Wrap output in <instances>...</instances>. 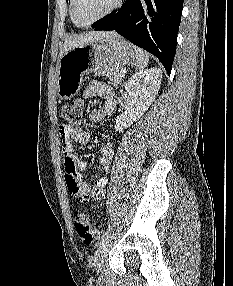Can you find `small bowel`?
<instances>
[{
  "instance_id": "small-bowel-1",
  "label": "small bowel",
  "mask_w": 233,
  "mask_h": 286,
  "mask_svg": "<svg viewBox=\"0 0 233 286\" xmlns=\"http://www.w3.org/2000/svg\"><path fill=\"white\" fill-rule=\"evenodd\" d=\"M86 98L100 97L104 99L101 108L91 111L90 120L100 122L105 117L111 116L115 112V92L114 89L105 83L92 81L84 91ZM59 134L62 141V152L64 156V174L67 188L71 195L82 201H99L105 195V186L108 183V175L113 160V148L110 142L102 145L99 151V160L102 175L94 184L85 182L80 175L87 167V162L80 158L74 151V143L85 144L91 139L89 131L74 128L70 125L59 126Z\"/></svg>"
}]
</instances>
